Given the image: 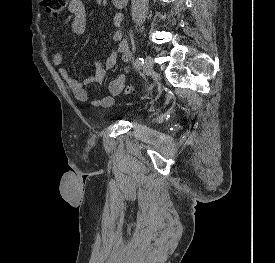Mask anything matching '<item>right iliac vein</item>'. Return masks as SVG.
I'll return each mask as SVG.
<instances>
[{"instance_id": "right-iliac-vein-1", "label": "right iliac vein", "mask_w": 275, "mask_h": 263, "mask_svg": "<svg viewBox=\"0 0 275 263\" xmlns=\"http://www.w3.org/2000/svg\"><path fill=\"white\" fill-rule=\"evenodd\" d=\"M153 68V61L150 56L145 57V63L143 65V72L145 75H149Z\"/></svg>"}]
</instances>
